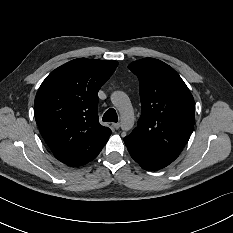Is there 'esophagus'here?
Here are the masks:
<instances>
[{"label":"esophagus","instance_id":"1","mask_svg":"<svg viewBox=\"0 0 233 233\" xmlns=\"http://www.w3.org/2000/svg\"><path fill=\"white\" fill-rule=\"evenodd\" d=\"M112 125L116 130L120 128V123H113Z\"/></svg>","mask_w":233,"mask_h":233}]
</instances>
